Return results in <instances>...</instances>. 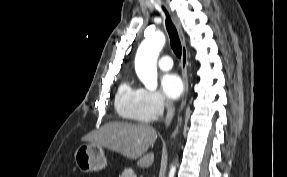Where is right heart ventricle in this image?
<instances>
[{
  "instance_id": "e07e8e85",
  "label": "right heart ventricle",
  "mask_w": 287,
  "mask_h": 177,
  "mask_svg": "<svg viewBox=\"0 0 287 177\" xmlns=\"http://www.w3.org/2000/svg\"><path fill=\"white\" fill-rule=\"evenodd\" d=\"M115 109L120 117L135 122H147L143 112V98L141 89L135 87L129 80L123 81L115 97Z\"/></svg>"
}]
</instances>
